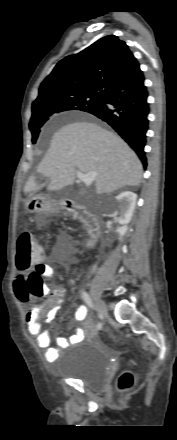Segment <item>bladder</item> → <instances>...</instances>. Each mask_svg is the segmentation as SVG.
Returning a JSON list of instances; mask_svg holds the SVG:
<instances>
[{
    "mask_svg": "<svg viewBox=\"0 0 177 440\" xmlns=\"http://www.w3.org/2000/svg\"><path fill=\"white\" fill-rule=\"evenodd\" d=\"M110 371V359L93 339L76 343L64 358L60 375L81 381L87 388L103 387Z\"/></svg>",
    "mask_w": 177,
    "mask_h": 440,
    "instance_id": "bladder-1",
    "label": "bladder"
}]
</instances>
